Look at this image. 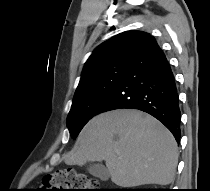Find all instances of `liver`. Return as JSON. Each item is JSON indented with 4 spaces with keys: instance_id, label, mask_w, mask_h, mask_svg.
<instances>
[{
    "instance_id": "obj_1",
    "label": "liver",
    "mask_w": 210,
    "mask_h": 191,
    "mask_svg": "<svg viewBox=\"0 0 210 191\" xmlns=\"http://www.w3.org/2000/svg\"><path fill=\"white\" fill-rule=\"evenodd\" d=\"M104 160L120 187L173 182L178 147L171 132L152 116L120 109L92 118L81 131L67 165Z\"/></svg>"
}]
</instances>
